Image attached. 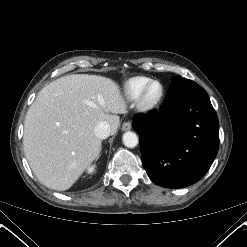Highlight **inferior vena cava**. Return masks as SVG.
I'll use <instances>...</instances> for the list:
<instances>
[{"mask_svg":"<svg viewBox=\"0 0 247 247\" xmlns=\"http://www.w3.org/2000/svg\"><path fill=\"white\" fill-rule=\"evenodd\" d=\"M94 134L99 139H106L110 135V125L106 121L99 122L94 128Z\"/></svg>","mask_w":247,"mask_h":247,"instance_id":"602c4592","label":"inferior vena cava"}]
</instances>
